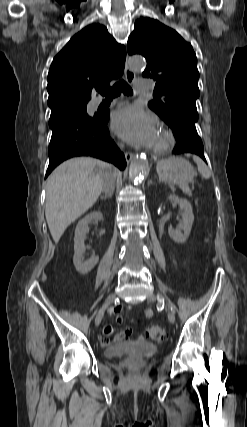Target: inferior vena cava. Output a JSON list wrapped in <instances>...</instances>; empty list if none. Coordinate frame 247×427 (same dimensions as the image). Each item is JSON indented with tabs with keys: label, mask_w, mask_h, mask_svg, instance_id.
<instances>
[{
	"label": "inferior vena cava",
	"mask_w": 247,
	"mask_h": 427,
	"mask_svg": "<svg viewBox=\"0 0 247 427\" xmlns=\"http://www.w3.org/2000/svg\"><path fill=\"white\" fill-rule=\"evenodd\" d=\"M123 148V145H120ZM115 178H116V171L112 170L110 173H108L103 181V191L105 192V195L112 194L115 187Z\"/></svg>",
	"instance_id": "obj_1"
}]
</instances>
